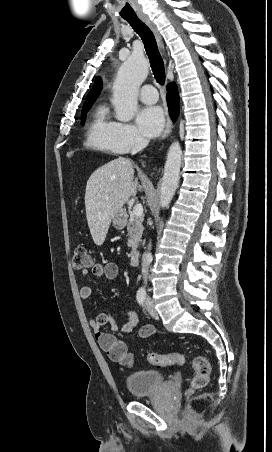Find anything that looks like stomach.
<instances>
[{"label":"stomach","instance_id":"1","mask_svg":"<svg viewBox=\"0 0 272 452\" xmlns=\"http://www.w3.org/2000/svg\"><path fill=\"white\" fill-rule=\"evenodd\" d=\"M113 226L117 229H122L126 224L125 210L118 211L112 219Z\"/></svg>","mask_w":272,"mask_h":452}]
</instances>
